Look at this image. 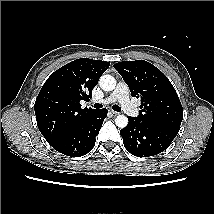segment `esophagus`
Masks as SVG:
<instances>
[{"label":"esophagus","instance_id":"34e87169","mask_svg":"<svg viewBox=\"0 0 214 214\" xmlns=\"http://www.w3.org/2000/svg\"><path fill=\"white\" fill-rule=\"evenodd\" d=\"M111 112H112V114L115 115V116H116V115H119V112H117V111H113V110H112Z\"/></svg>","mask_w":214,"mask_h":214}]
</instances>
